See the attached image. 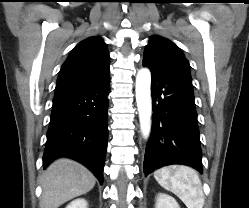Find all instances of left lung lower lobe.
Listing matches in <instances>:
<instances>
[{
  "label": "left lung lower lobe",
  "mask_w": 249,
  "mask_h": 208,
  "mask_svg": "<svg viewBox=\"0 0 249 208\" xmlns=\"http://www.w3.org/2000/svg\"><path fill=\"white\" fill-rule=\"evenodd\" d=\"M152 73V131L144 156L145 176L171 164L202 173L200 134L192 83L143 61Z\"/></svg>",
  "instance_id": "1"
}]
</instances>
